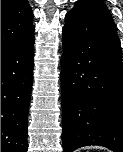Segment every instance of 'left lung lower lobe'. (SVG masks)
Instances as JSON below:
<instances>
[{"instance_id":"0a47b994","label":"left lung lower lobe","mask_w":123,"mask_h":152,"mask_svg":"<svg viewBox=\"0 0 123 152\" xmlns=\"http://www.w3.org/2000/svg\"><path fill=\"white\" fill-rule=\"evenodd\" d=\"M63 27V150L101 145L123 152V64L112 17L87 2Z\"/></svg>"}]
</instances>
